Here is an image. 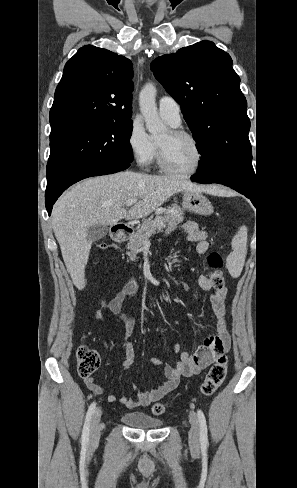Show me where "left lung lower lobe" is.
Instances as JSON below:
<instances>
[{
  "label": "left lung lower lobe",
  "instance_id": "obj_1",
  "mask_svg": "<svg viewBox=\"0 0 297 488\" xmlns=\"http://www.w3.org/2000/svg\"><path fill=\"white\" fill-rule=\"evenodd\" d=\"M191 180L199 183H218V184L226 185L236 190L237 192L245 195L247 198H249L252 201V203H255V195H256L255 184L243 178L234 175H228V174L215 175L208 178H200L194 174L193 176H191Z\"/></svg>",
  "mask_w": 297,
  "mask_h": 488
}]
</instances>
